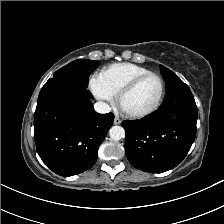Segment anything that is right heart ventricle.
<instances>
[{"instance_id":"1","label":"right heart ventricle","mask_w":224,"mask_h":224,"mask_svg":"<svg viewBox=\"0 0 224 224\" xmlns=\"http://www.w3.org/2000/svg\"><path fill=\"white\" fill-rule=\"evenodd\" d=\"M150 72V70L142 66L128 62H122L111 64L105 67L100 72L99 77L106 89L109 90L113 95H116L120 89L129 81L137 76Z\"/></svg>"}]
</instances>
